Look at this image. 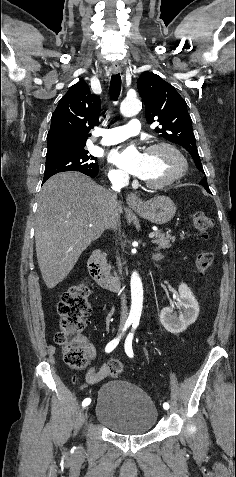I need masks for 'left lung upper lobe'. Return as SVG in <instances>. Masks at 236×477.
I'll return each instance as SVG.
<instances>
[{"mask_svg":"<svg viewBox=\"0 0 236 477\" xmlns=\"http://www.w3.org/2000/svg\"><path fill=\"white\" fill-rule=\"evenodd\" d=\"M137 88L145 102L147 122L152 124L158 121L160 128L156 127L155 131L165 139L185 148L192 156L196 167L204 173L185 100L171 84L151 72H144L139 77ZM199 184L210 192L206 177Z\"/></svg>","mask_w":236,"mask_h":477,"instance_id":"obj_1","label":"left lung upper lobe"}]
</instances>
